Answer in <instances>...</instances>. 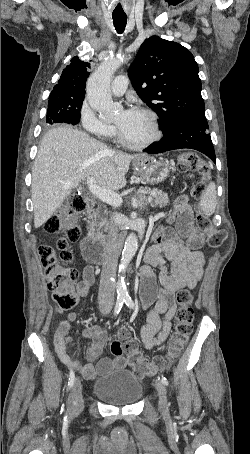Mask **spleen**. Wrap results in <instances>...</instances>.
Instances as JSON below:
<instances>
[{
	"mask_svg": "<svg viewBox=\"0 0 250 454\" xmlns=\"http://www.w3.org/2000/svg\"><path fill=\"white\" fill-rule=\"evenodd\" d=\"M216 204V186L214 182H210L205 191L202 193L200 208L205 215L211 216L215 212Z\"/></svg>",
	"mask_w": 250,
	"mask_h": 454,
	"instance_id": "obj_1",
	"label": "spleen"
}]
</instances>
